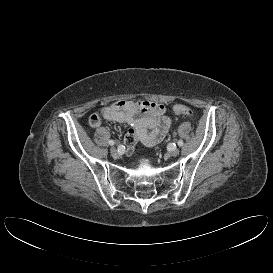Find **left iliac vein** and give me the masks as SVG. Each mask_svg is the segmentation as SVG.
Returning <instances> with one entry per match:
<instances>
[{
    "label": "left iliac vein",
    "instance_id": "4c4485c4",
    "mask_svg": "<svg viewBox=\"0 0 273 273\" xmlns=\"http://www.w3.org/2000/svg\"><path fill=\"white\" fill-rule=\"evenodd\" d=\"M179 149L178 148H174L172 149L170 152H169V155L172 156V157H175L179 154Z\"/></svg>",
    "mask_w": 273,
    "mask_h": 273
}]
</instances>
